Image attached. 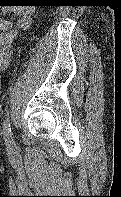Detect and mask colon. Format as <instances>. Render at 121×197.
<instances>
[{
	"instance_id": "obj_1",
	"label": "colon",
	"mask_w": 121,
	"mask_h": 197,
	"mask_svg": "<svg viewBox=\"0 0 121 197\" xmlns=\"http://www.w3.org/2000/svg\"><path fill=\"white\" fill-rule=\"evenodd\" d=\"M1 86H2V85H1V80H0V92H1Z\"/></svg>"
}]
</instances>
